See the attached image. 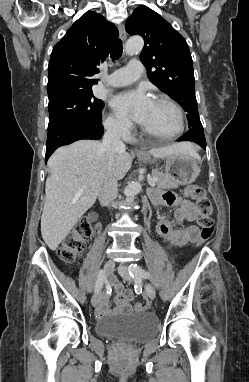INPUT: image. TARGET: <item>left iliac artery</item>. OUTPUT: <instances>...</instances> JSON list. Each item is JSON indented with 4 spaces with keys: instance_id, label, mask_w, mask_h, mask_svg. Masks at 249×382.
<instances>
[{
    "instance_id": "left-iliac-artery-1",
    "label": "left iliac artery",
    "mask_w": 249,
    "mask_h": 382,
    "mask_svg": "<svg viewBox=\"0 0 249 382\" xmlns=\"http://www.w3.org/2000/svg\"><path fill=\"white\" fill-rule=\"evenodd\" d=\"M129 274L138 281L141 278L151 279V275L146 270L139 267L137 264H131L129 266Z\"/></svg>"
}]
</instances>
